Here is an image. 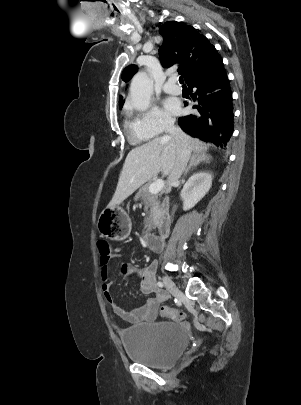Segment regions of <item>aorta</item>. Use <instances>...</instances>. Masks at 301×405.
Here are the masks:
<instances>
[{"mask_svg": "<svg viewBox=\"0 0 301 405\" xmlns=\"http://www.w3.org/2000/svg\"><path fill=\"white\" fill-rule=\"evenodd\" d=\"M153 83L145 72H138L130 85L132 105L139 111H146L150 106Z\"/></svg>", "mask_w": 301, "mask_h": 405, "instance_id": "obj_1", "label": "aorta"}]
</instances>
